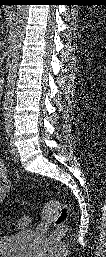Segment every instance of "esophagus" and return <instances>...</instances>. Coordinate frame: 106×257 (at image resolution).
I'll return each instance as SVG.
<instances>
[{"instance_id": "1", "label": "esophagus", "mask_w": 106, "mask_h": 257, "mask_svg": "<svg viewBox=\"0 0 106 257\" xmlns=\"http://www.w3.org/2000/svg\"><path fill=\"white\" fill-rule=\"evenodd\" d=\"M8 10L12 9L11 7H6Z\"/></svg>"}]
</instances>
